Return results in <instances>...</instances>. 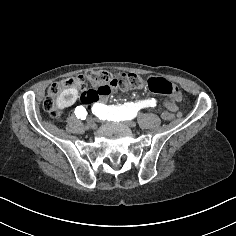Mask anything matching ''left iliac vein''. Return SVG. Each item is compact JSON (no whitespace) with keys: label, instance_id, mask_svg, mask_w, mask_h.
<instances>
[{"label":"left iliac vein","instance_id":"4c4485c4","mask_svg":"<svg viewBox=\"0 0 236 236\" xmlns=\"http://www.w3.org/2000/svg\"><path fill=\"white\" fill-rule=\"evenodd\" d=\"M124 124L127 126H130V127H133V128L136 127V125H137L136 122H134V121L132 122V121H128V120H125Z\"/></svg>","mask_w":236,"mask_h":236}]
</instances>
